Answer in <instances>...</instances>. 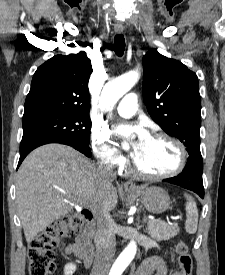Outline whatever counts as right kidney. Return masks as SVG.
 I'll use <instances>...</instances> for the list:
<instances>
[{
  "mask_svg": "<svg viewBox=\"0 0 225 275\" xmlns=\"http://www.w3.org/2000/svg\"><path fill=\"white\" fill-rule=\"evenodd\" d=\"M75 271H76V265L73 263L67 264L64 268L65 275H73Z\"/></svg>",
  "mask_w": 225,
  "mask_h": 275,
  "instance_id": "right-kidney-1",
  "label": "right kidney"
}]
</instances>
